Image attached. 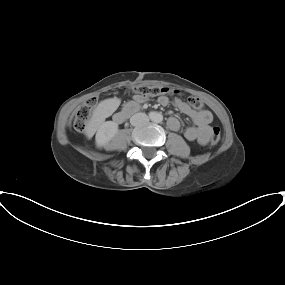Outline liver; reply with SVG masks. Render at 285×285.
Wrapping results in <instances>:
<instances>
[{
  "label": "liver",
  "mask_w": 285,
  "mask_h": 285,
  "mask_svg": "<svg viewBox=\"0 0 285 285\" xmlns=\"http://www.w3.org/2000/svg\"><path fill=\"white\" fill-rule=\"evenodd\" d=\"M107 102L108 101L101 102L99 106L96 108V110L94 111L93 117L86 129V135L89 139L94 135L97 127L99 126V124L102 122L104 118L105 105Z\"/></svg>",
  "instance_id": "6515ba94"
}]
</instances>
